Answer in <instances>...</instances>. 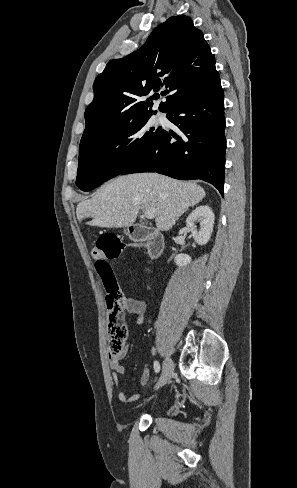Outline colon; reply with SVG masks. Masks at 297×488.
<instances>
[{"instance_id": "5ec220e1", "label": "colon", "mask_w": 297, "mask_h": 488, "mask_svg": "<svg viewBox=\"0 0 297 488\" xmlns=\"http://www.w3.org/2000/svg\"><path fill=\"white\" fill-rule=\"evenodd\" d=\"M133 246L123 243L112 233L102 234L92 248L95 257V269L101 277L106 290L107 325L109 349L111 355H119L125 345L127 327L125 322L126 302L120 290L115 273L109 260L117 259L126 249Z\"/></svg>"}]
</instances>
